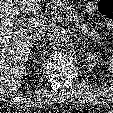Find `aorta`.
<instances>
[{"label": "aorta", "instance_id": "obj_1", "mask_svg": "<svg viewBox=\"0 0 113 113\" xmlns=\"http://www.w3.org/2000/svg\"><path fill=\"white\" fill-rule=\"evenodd\" d=\"M69 41L68 34L63 30H55L49 37L50 45L54 49L63 48Z\"/></svg>", "mask_w": 113, "mask_h": 113}]
</instances>
